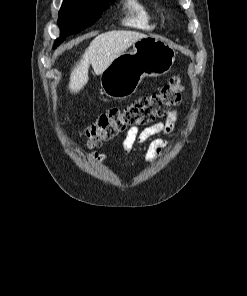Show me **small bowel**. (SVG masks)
Returning a JSON list of instances; mask_svg holds the SVG:
<instances>
[{
	"instance_id": "small-bowel-1",
	"label": "small bowel",
	"mask_w": 247,
	"mask_h": 296,
	"mask_svg": "<svg viewBox=\"0 0 247 296\" xmlns=\"http://www.w3.org/2000/svg\"><path fill=\"white\" fill-rule=\"evenodd\" d=\"M179 111L173 110L165 122H158L143 130L138 127L129 129L123 143L125 152L132 153L134 146L142 144L151 137L163 133L170 134L176 127L178 121ZM168 146V140L163 137L152 140L146 150L145 157L148 163L152 164L161 158ZM92 160L103 163L106 161V156L100 153H93L89 156Z\"/></svg>"
}]
</instances>
